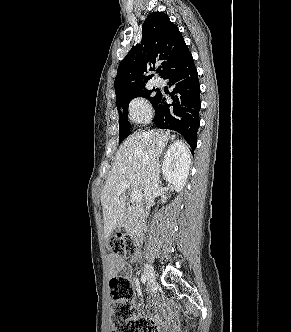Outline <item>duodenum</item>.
<instances>
[{
	"instance_id": "1",
	"label": "duodenum",
	"mask_w": 291,
	"mask_h": 332,
	"mask_svg": "<svg viewBox=\"0 0 291 332\" xmlns=\"http://www.w3.org/2000/svg\"><path fill=\"white\" fill-rule=\"evenodd\" d=\"M135 241L138 245L142 244L144 241V232L143 230H139L136 234H135Z\"/></svg>"
}]
</instances>
